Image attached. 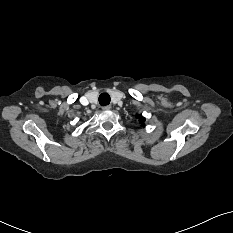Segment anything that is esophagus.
Masks as SVG:
<instances>
[{"label": "esophagus", "instance_id": "34e87169", "mask_svg": "<svg viewBox=\"0 0 233 233\" xmlns=\"http://www.w3.org/2000/svg\"><path fill=\"white\" fill-rule=\"evenodd\" d=\"M102 109H103V110H110V109H111V106H110V105H106V106H103Z\"/></svg>", "mask_w": 233, "mask_h": 233}]
</instances>
